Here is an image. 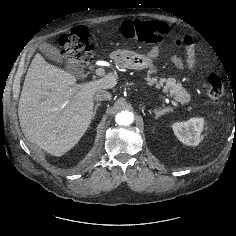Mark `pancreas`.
<instances>
[{
    "label": "pancreas",
    "instance_id": "cf45deb5",
    "mask_svg": "<svg viewBox=\"0 0 236 236\" xmlns=\"http://www.w3.org/2000/svg\"><path fill=\"white\" fill-rule=\"evenodd\" d=\"M157 69L154 66L150 67V70L148 71V74L156 73ZM147 84L150 86L155 85L157 88L160 86H163L164 83V92L169 91L170 95L174 97V99L180 103H188L191 100V95L186 91L185 88L182 87L180 83H177L174 78H168V79H158L156 77H148L146 78Z\"/></svg>",
    "mask_w": 236,
    "mask_h": 236
}]
</instances>
